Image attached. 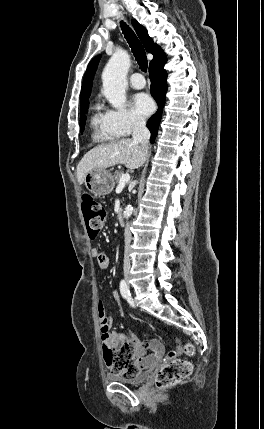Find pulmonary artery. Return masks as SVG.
<instances>
[{
	"label": "pulmonary artery",
	"mask_w": 264,
	"mask_h": 429,
	"mask_svg": "<svg viewBox=\"0 0 264 429\" xmlns=\"http://www.w3.org/2000/svg\"><path fill=\"white\" fill-rule=\"evenodd\" d=\"M130 84L135 89H142L145 87V79L140 73H133L130 76Z\"/></svg>",
	"instance_id": "pulmonary-artery-1"
}]
</instances>
